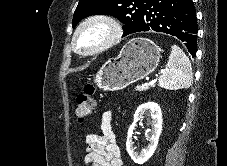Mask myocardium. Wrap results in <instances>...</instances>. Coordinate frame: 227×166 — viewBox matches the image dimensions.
<instances>
[{"instance_id": "myocardium-1", "label": "myocardium", "mask_w": 227, "mask_h": 166, "mask_svg": "<svg viewBox=\"0 0 227 166\" xmlns=\"http://www.w3.org/2000/svg\"><path fill=\"white\" fill-rule=\"evenodd\" d=\"M93 24H102L106 26L108 29V35L94 48L90 50H82L77 43L78 37L82 33V31ZM122 34V26L114 17L106 14H95L85 18L78 24L72 35L71 45L78 54L84 56H93L100 54L115 45L120 40Z\"/></svg>"}]
</instances>
